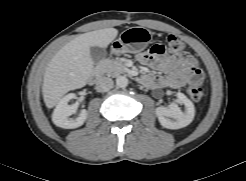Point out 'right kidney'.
<instances>
[{
    "label": "right kidney",
    "instance_id": "ca27d5eb",
    "mask_svg": "<svg viewBox=\"0 0 246 181\" xmlns=\"http://www.w3.org/2000/svg\"><path fill=\"white\" fill-rule=\"evenodd\" d=\"M75 97L76 95L74 93L67 94L57 104L52 114V121L56 126L64 129H74L84 124L87 119L86 110H82L76 119L69 118L78 108L77 103L68 105V102Z\"/></svg>",
    "mask_w": 246,
    "mask_h": 181
}]
</instances>
